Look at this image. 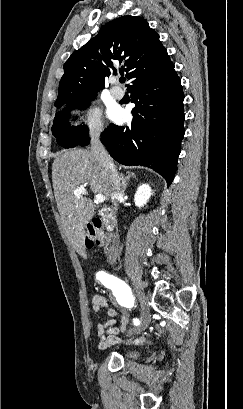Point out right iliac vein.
<instances>
[{
    "instance_id": "obj_1",
    "label": "right iliac vein",
    "mask_w": 243,
    "mask_h": 409,
    "mask_svg": "<svg viewBox=\"0 0 243 409\" xmlns=\"http://www.w3.org/2000/svg\"><path fill=\"white\" fill-rule=\"evenodd\" d=\"M137 296H138V299H139V301L141 303L140 323L133 330L129 331V334L141 333L142 331H144L147 328V326L149 324V321H150L149 311H148V308H147L145 295L141 291L137 290Z\"/></svg>"
}]
</instances>
